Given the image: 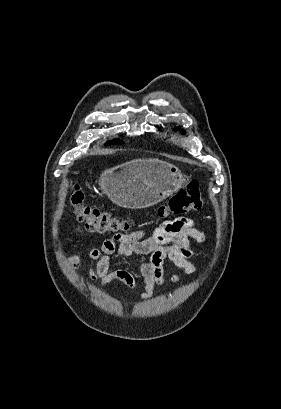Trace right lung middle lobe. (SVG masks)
<instances>
[{"mask_svg": "<svg viewBox=\"0 0 281 409\" xmlns=\"http://www.w3.org/2000/svg\"><path fill=\"white\" fill-rule=\"evenodd\" d=\"M119 143H122V142L119 141V140H113V141H110V142L106 143V145L119 144Z\"/></svg>", "mask_w": 281, "mask_h": 409, "instance_id": "obj_1", "label": "right lung middle lobe"}]
</instances>
